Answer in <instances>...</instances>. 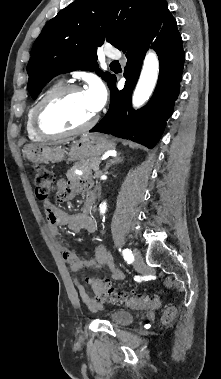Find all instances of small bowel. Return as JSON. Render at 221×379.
<instances>
[{
    "label": "small bowel",
    "mask_w": 221,
    "mask_h": 379,
    "mask_svg": "<svg viewBox=\"0 0 221 379\" xmlns=\"http://www.w3.org/2000/svg\"><path fill=\"white\" fill-rule=\"evenodd\" d=\"M91 183L85 180L80 183H72L65 179H59L57 182V199L60 202H67L74 198L78 192L86 191L90 188ZM47 216V228L50 235L57 240V245L61 251L65 263L76 273L86 268L107 267L110 276L114 280L124 279L123 272L115 265L110 253L101 245H97L94 253L87 259L78 257L73 251L68 249L62 241L59 240L61 226H67L73 232H84L92 239L95 238L96 225L92 217L87 212H81L70 215L52 203L44 205ZM74 284L80 298L91 309H97L100 304L89 297L81 281L75 277Z\"/></svg>",
    "instance_id": "obj_1"
}]
</instances>
